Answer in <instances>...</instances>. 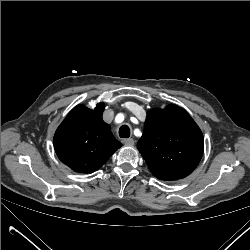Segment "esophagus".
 <instances>
[{
  "mask_svg": "<svg viewBox=\"0 0 250 250\" xmlns=\"http://www.w3.org/2000/svg\"><path fill=\"white\" fill-rule=\"evenodd\" d=\"M123 142L126 146H133L134 145V140L132 138L124 139Z\"/></svg>",
  "mask_w": 250,
  "mask_h": 250,
  "instance_id": "obj_1",
  "label": "esophagus"
}]
</instances>
